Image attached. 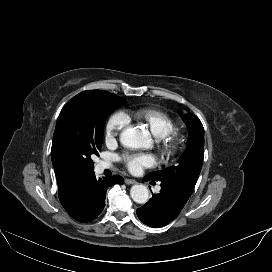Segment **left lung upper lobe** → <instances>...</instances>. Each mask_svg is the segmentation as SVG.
Masks as SVG:
<instances>
[{"instance_id": "left-lung-upper-lobe-1", "label": "left lung upper lobe", "mask_w": 272, "mask_h": 272, "mask_svg": "<svg viewBox=\"0 0 272 272\" xmlns=\"http://www.w3.org/2000/svg\"><path fill=\"white\" fill-rule=\"evenodd\" d=\"M189 128L187 147L178 164L160 171L151 172L146 177L172 184L191 195L200 174L204 158V128L196 115H180Z\"/></svg>"}]
</instances>
